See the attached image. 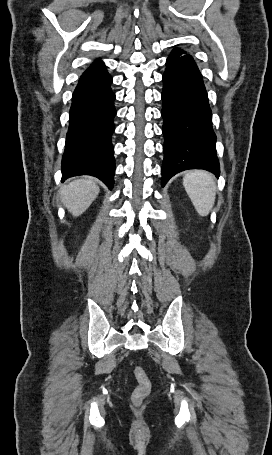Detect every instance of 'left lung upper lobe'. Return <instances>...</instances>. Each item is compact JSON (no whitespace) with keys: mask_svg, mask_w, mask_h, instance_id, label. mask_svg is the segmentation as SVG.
Here are the masks:
<instances>
[{"mask_svg":"<svg viewBox=\"0 0 272 455\" xmlns=\"http://www.w3.org/2000/svg\"><path fill=\"white\" fill-rule=\"evenodd\" d=\"M186 53L183 50L180 49H174L169 56H182L185 55Z\"/></svg>","mask_w":272,"mask_h":455,"instance_id":"1","label":"left lung upper lobe"}]
</instances>
